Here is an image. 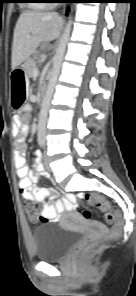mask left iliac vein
Returning a JSON list of instances; mask_svg holds the SVG:
<instances>
[{
  "label": "left iliac vein",
  "mask_w": 136,
  "mask_h": 296,
  "mask_svg": "<svg viewBox=\"0 0 136 296\" xmlns=\"http://www.w3.org/2000/svg\"><path fill=\"white\" fill-rule=\"evenodd\" d=\"M44 164H45V167L50 170V166H49V161H48V157L46 154H44Z\"/></svg>",
  "instance_id": "4c4485c4"
}]
</instances>
